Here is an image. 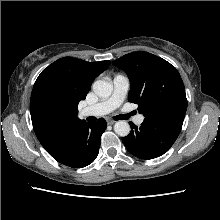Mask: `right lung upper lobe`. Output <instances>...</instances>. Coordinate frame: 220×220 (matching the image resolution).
Returning a JSON list of instances; mask_svg holds the SVG:
<instances>
[{
	"label": "right lung upper lobe",
	"mask_w": 220,
	"mask_h": 220,
	"mask_svg": "<svg viewBox=\"0 0 220 220\" xmlns=\"http://www.w3.org/2000/svg\"><path fill=\"white\" fill-rule=\"evenodd\" d=\"M110 64V61L87 62L64 57L53 62L38 76L30 101L42 89L52 88L59 93L67 109L66 117L56 124L41 122L31 115L36 136L46 151L65 137L73 126L82 122L77 117L78 103L86 98L94 79Z\"/></svg>",
	"instance_id": "cb5924a9"
}]
</instances>
